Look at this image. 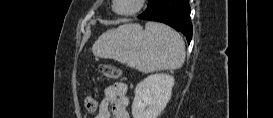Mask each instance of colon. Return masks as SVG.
I'll use <instances>...</instances> for the list:
<instances>
[{
    "label": "colon",
    "instance_id": "colon-1",
    "mask_svg": "<svg viewBox=\"0 0 273 118\" xmlns=\"http://www.w3.org/2000/svg\"><path fill=\"white\" fill-rule=\"evenodd\" d=\"M99 71L103 76L108 78L117 79L120 78L122 75L120 69L110 64H101L99 66ZM85 107L86 110L91 113L97 110L96 102L88 97L85 99Z\"/></svg>",
    "mask_w": 273,
    "mask_h": 118
}]
</instances>
